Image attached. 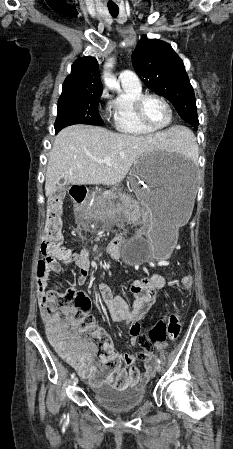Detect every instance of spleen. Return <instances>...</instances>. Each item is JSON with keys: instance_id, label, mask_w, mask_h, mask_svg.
I'll return each instance as SVG.
<instances>
[{"instance_id": "1", "label": "spleen", "mask_w": 233, "mask_h": 449, "mask_svg": "<svg viewBox=\"0 0 233 449\" xmlns=\"http://www.w3.org/2000/svg\"><path fill=\"white\" fill-rule=\"evenodd\" d=\"M173 149L177 153L181 154H194L197 152V145L195 143V139L191 131L186 129V134H184V138L181 142H178Z\"/></svg>"}]
</instances>
